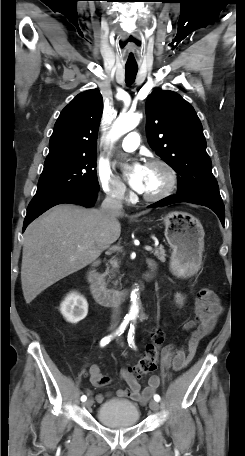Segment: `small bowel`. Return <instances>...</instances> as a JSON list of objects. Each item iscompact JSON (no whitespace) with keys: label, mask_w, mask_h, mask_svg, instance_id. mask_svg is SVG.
<instances>
[{"label":"small bowel","mask_w":245,"mask_h":456,"mask_svg":"<svg viewBox=\"0 0 245 456\" xmlns=\"http://www.w3.org/2000/svg\"><path fill=\"white\" fill-rule=\"evenodd\" d=\"M195 319L184 325L188 332L185 346L177 348L170 344L161 353V365L163 368H173L176 371L183 369L193 359L200 341L211 333L216 321L222 313V305L218 296L210 289H201L195 299ZM90 382L93 386L101 387L110 384L111 379L103 375L97 365L89 367ZM127 385V389H117V397H126L140 404H145L160 385L161 379L153 375L148 380V385L141 389V386L130 369H122L120 373ZM91 394V392H88ZM109 394L101 392L96 395L97 402H103Z\"/></svg>","instance_id":"obj_1"}]
</instances>
